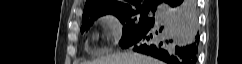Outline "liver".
Listing matches in <instances>:
<instances>
[{"instance_id":"liver-1","label":"liver","mask_w":242,"mask_h":64,"mask_svg":"<svg viewBox=\"0 0 242 64\" xmlns=\"http://www.w3.org/2000/svg\"><path fill=\"white\" fill-rule=\"evenodd\" d=\"M184 26L189 31H194L197 33L196 19H190L186 21V23L184 22ZM83 64H162V62L136 52H127L122 54L108 55L92 61H87Z\"/></svg>"}]
</instances>
